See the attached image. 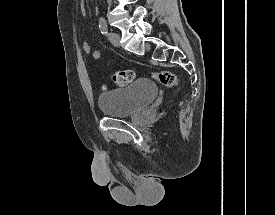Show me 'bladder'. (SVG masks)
<instances>
[{"mask_svg":"<svg viewBox=\"0 0 275 215\" xmlns=\"http://www.w3.org/2000/svg\"><path fill=\"white\" fill-rule=\"evenodd\" d=\"M157 94L158 88L149 79L139 78L120 89L106 92L98 104L105 116L127 118L149 105Z\"/></svg>","mask_w":275,"mask_h":215,"instance_id":"obj_1","label":"bladder"}]
</instances>
